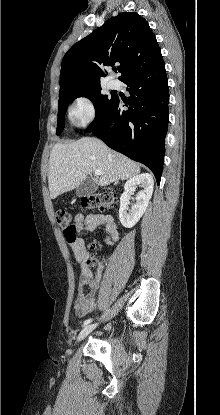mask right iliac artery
<instances>
[{"instance_id": "82829eb1", "label": "right iliac artery", "mask_w": 220, "mask_h": 415, "mask_svg": "<svg viewBox=\"0 0 220 415\" xmlns=\"http://www.w3.org/2000/svg\"><path fill=\"white\" fill-rule=\"evenodd\" d=\"M93 321L92 318H89L87 320L84 321L83 326L88 325L89 323H91Z\"/></svg>"}]
</instances>
